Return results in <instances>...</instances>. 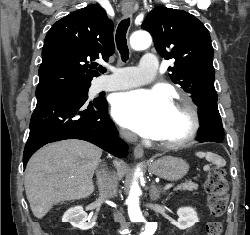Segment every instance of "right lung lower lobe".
<instances>
[{"mask_svg": "<svg viewBox=\"0 0 250 235\" xmlns=\"http://www.w3.org/2000/svg\"><path fill=\"white\" fill-rule=\"evenodd\" d=\"M87 93L84 88H74L37 96L23 154L24 167L39 148L65 139L91 142L117 157L126 155L127 145L107 114L106 100L90 101Z\"/></svg>", "mask_w": 250, "mask_h": 235, "instance_id": "1", "label": "right lung lower lobe"}]
</instances>
